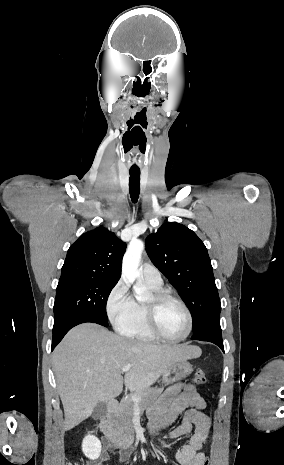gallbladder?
<instances>
[{
	"mask_svg": "<svg viewBox=\"0 0 284 465\" xmlns=\"http://www.w3.org/2000/svg\"><path fill=\"white\" fill-rule=\"evenodd\" d=\"M107 413V403H104V401H100V403H97L96 407L93 409L92 413V419H101V417H104Z\"/></svg>",
	"mask_w": 284,
	"mask_h": 465,
	"instance_id": "1",
	"label": "gallbladder"
}]
</instances>
